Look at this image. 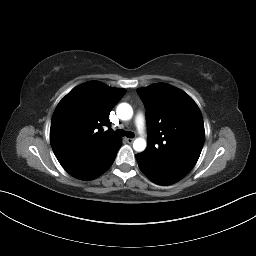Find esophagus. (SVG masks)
I'll use <instances>...</instances> for the list:
<instances>
[{
	"label": "esophagus",
	"mask_w": 256,
	"mask_h": 256,
	"mask_svg": "<svg viewBox=\"0 0 256 256\" xmlns=\"http://www.w3.org/2000/svg\"><path fill=\"white\" fill-rule=\"evenodd\" d=\"M125 141H126L128 144L133 143V139H132V138H125Z\"/></svg>",
	"instance_id": "esophagus-1"
}]
</instances>
